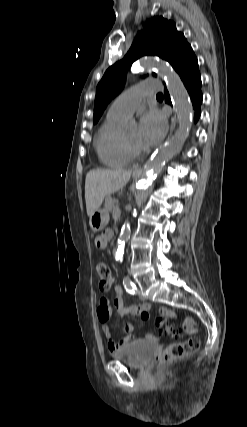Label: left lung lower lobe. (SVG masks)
I'll return each mask as SVG.
<instances>
[{"mask_svg":"<svg viewBox=\"0 0 247 427\" xmlns=\"http://www.w3.org/2000/svg\"><path fill=\"white\" fill-rule=\"evenodd\" d=\"M178 74L183 81L193 104L195 110L194 120L195 122L200 117V106L202 103V92H201V76L198 69V61L196 56L186 62L178 71ZM165 101L171 104L170 96L168 91H164Z\"/></svg>","mask_w":247,"mask_h":427,"instance_id":"0a47b994","label":"left lung lower lobe"}]
</instances>
